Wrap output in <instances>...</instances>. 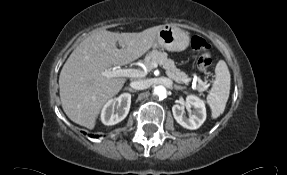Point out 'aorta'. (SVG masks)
<instances>
[{
	"label": "aorta",
	"instance_id": "obj_1",
	"mask_svg": "<svg viewBox=\"0 0 287 175\" xmlns=\"http://www.w3.org/2000/svg\"><path fill=\"white\" fill-rule=\"evenodd\" d=\"M154 94L157 95L160 99H164L167 96V90L164 86L159 85L155 87Z\"/></svg>",
	"mask_w": 287,
	"mask_h": 175
}]
</instances>
